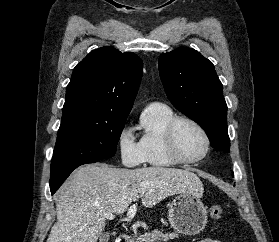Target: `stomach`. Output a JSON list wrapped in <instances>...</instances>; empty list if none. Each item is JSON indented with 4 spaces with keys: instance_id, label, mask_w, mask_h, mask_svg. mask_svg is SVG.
Instances as JSON below:
<instances>
[{
    "instance_id": "stomach-1",
    "label": "stomach",
    "mask_w": 279,
    "mask_h": 242,
    "mask_svg": "<svg viewBox=\"0 0 279 242\" xmlns=\"http://www.w3.org/2000/svg\"><path fill=\"white\" fill-rule=\"evenodd\" d=\"M168 219L177 233L192 236L205 228L207 210L198 196L181 193L169 205Z\"/></svg>"
}]
</instances>
